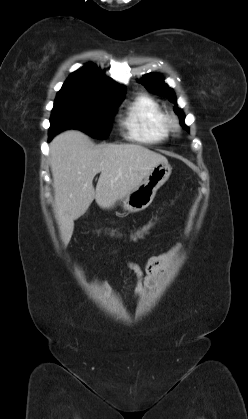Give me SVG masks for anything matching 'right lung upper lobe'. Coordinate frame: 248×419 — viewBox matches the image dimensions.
Listing matches in <instances>:
<instances>
[{"mask_svg":"<svg viewBox=\"0 0 248 419\" xmlns=\"http://www.w3.org/2000/svg\"><path fill=\"white\" fill-rule=\"evenodd\" d=\"M59 92L113 99L124 96L125 86L119 85L111 78L106 77L94 64L88 63L73 72Z\"/></svg>","mask_w":248,"mask_h":419,"instance_id":"obj_1","label":"right lung upper lobe"}]
</instances>
